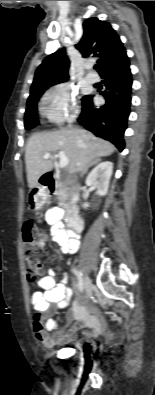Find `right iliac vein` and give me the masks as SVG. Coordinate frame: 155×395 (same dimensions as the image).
Listing matches in <instances>:
<instances>
[{
	"mask_svg": "<svg viewBox=\"0 0 155 395\" xmlns=\"http://www.w3.org/2000/svg\"><path fill=\"white\" fill-rule=\"evenodd\" d=\"M83 281H84V285H85L86 295H87L88 298H90L92 296V293H93L92 282L87 276H85L83 278Z\"/></svg>",
	"mask_w": 155,
	"mask_h": 395,
	"instance_id": "right-iliac-vein-1",
	"label": "right iliac vein"
}]
</instances>
